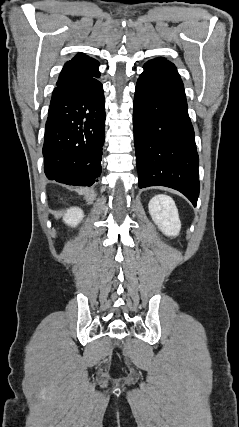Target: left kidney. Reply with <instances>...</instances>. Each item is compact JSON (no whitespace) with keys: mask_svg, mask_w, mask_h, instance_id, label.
<instances>
[{"mask_svg":"<svg viewBox=\"0 0 239 427\" xmlns=\"http://www.w3.org/2000/svg\"><path fill=\"white\" fill-rule=\"evenodd\" d=\"M149 213L159 229L168 236H177L181 229L178 210L173 199L156 195L149 201Z\"/></svg>","mask_w":239,"mask_h":427,"instance_id":"left-kidney-1","label":"left kidney"}]
</instances>
